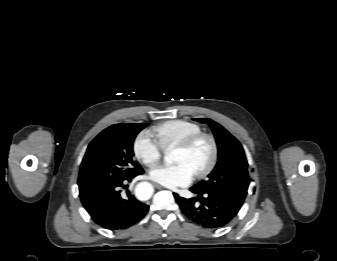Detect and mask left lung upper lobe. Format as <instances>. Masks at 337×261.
<instances>
[{"label": "left lung upper lobe", "instance_id": "1", "mask_svg": "<svg viewBox=\"0 0 337 261\" xmlns=\"http://www.w3.org/2000/svg\"><path fill=\"white\" fill-rule=\"evenodd\" d=\"M194 120L211 127L218 145V162L208 175V179L202 180L192 188L200 193L217 194L240 209L250 182L248 163L242 145L213 120L208 118Z\"/></svg>", "mask_w": 337, "mask_h": 261}]
</instances>
